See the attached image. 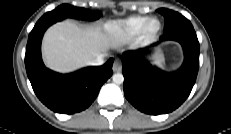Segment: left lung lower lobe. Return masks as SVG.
I'll use <instances>...</instances> for the list:
<instances>
[{
    "label": "left lung lower lobe",
    "instance_id": "0a47b994",
    "mask_svg": "<svg viewBox=\"0 0 231 134\" xmlns=\"http://www.w3.org/2000/svg\"><path fill=\"white\" fill-rule=\"evenodd\" d=\"M163 40L177 41L183 47L185 59L176 73L153 68L144 57L148 48L126 51L122 58L125 97L135 108L152 115L178 108L189 96L199 69V42L193 26L165 33L160 37Z\"/></svg>",
    "mask_w": 231,
    "mask_h": 134
}]
</instances>
